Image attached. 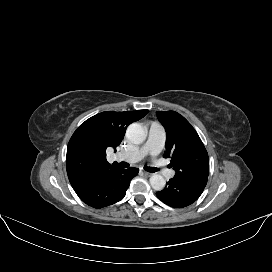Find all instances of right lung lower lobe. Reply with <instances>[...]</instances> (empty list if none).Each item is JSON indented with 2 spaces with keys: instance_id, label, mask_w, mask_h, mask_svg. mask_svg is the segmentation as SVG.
<instances>
[{
  "instance_id": "obj_1",
  "label": "right lung lower lobe",
  "mask_w": 272,
  "mask_h": 272,
  "mask_svg": "<svg viewBox=\"0 0 272 272\" xmlns=\"http://www.w3.org/2000/svg\"><path fill=\"white\" fill-rule=\"evenodd\" d=\"M137 168L109 170L103 176L80 188L74 189L79 198L87 205L100 209L120 201L138 174Z\"/></svg>"
}]
</instances>
